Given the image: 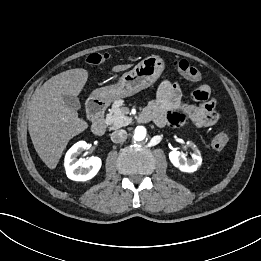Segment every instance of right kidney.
Here are the masks:
<instances>
[{
  "label": "right kidney",
  "instance_id": "right-kidney-1",
  "mask_svg": "<svg viewBox=\"0 0 261 261\" xmlns=\"http://www.w3.org/2000/svg\"><path fill=\"white\" fill-rule=\"evenodd\" d=\"M88 147L89 145L85 141H79L66 153L64 166L69 179L87 181L92 179L100 170L102 162L99 157L80 158L77 160L78 155Z\"/></svg>",
  "mask_w": 261,
  "mask_h": 261
}]
</instances>
